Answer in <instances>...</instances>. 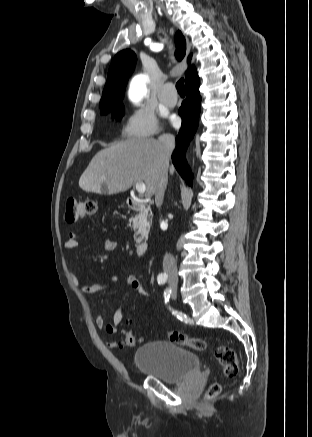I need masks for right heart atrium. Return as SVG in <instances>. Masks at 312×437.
<instances>
[{
  "mask_svg": "<svg viewBox=\"0 0 312 437\" xmlns=\"http://www.w3.org/2000/svg\"><path fill=\"white\" fill-rule=\"evenodd\" d=\"M159 132L155 115L144 109L128 114L121 128V135L128 139L149 138Z\"/></svg>",
  "mask_w": 312,
  "mask_h": 437,
  "instance_id": "1",
  "label": "right heart atrium"
}]
</instances>
